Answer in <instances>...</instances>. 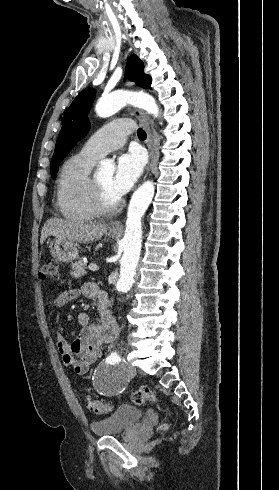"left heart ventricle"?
<instances>
[{"mask_svg":"<svg viewBox=\"0 0 279 490\" xmlns=\"http://www.w3.org/2000/svg\"><path fill=\"white\" fill-rule=\"evenodd\" d=\"M96 181L105 189L106 195L110 199H116L112 194V189H111L112 175L111 174L102 175L99 178H97Z\"/></svg>","mask_w":279,"mask_h":490,"instance_id":"left-heart-ventricle-1","label":"left heart ventricle"}]
</instances>
